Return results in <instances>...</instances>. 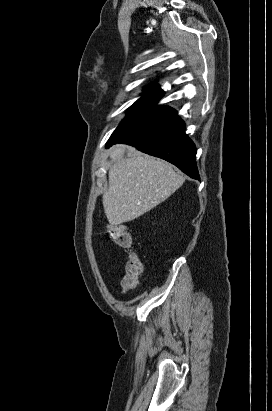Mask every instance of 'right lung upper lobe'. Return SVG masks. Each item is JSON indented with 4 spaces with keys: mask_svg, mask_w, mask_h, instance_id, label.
<instances>
[{
    "mask_svg": "<svg viewBox=\"0 0 272 411\" xmlns=\"http://www.w3.org/2000/svg\"><path fill=\"white\" fill-rule=\"evenodd\" d=\"M145 94L160 99L163 96V91L156 84H151L145 88Z\"/></svg>",
    "mask_w": 272,
    "mask_h": 411,
    "instance_id": "cb5924a9",
    "label": "right lung upper lobe"
}]
</instances>
